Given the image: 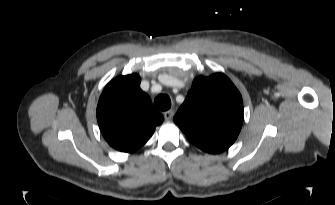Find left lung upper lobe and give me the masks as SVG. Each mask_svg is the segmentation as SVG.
Segmentation results:
<instances>
[{
    "instance_id": "5c2ea615",
    "label": "left lung upper lobe",
    "mask_w": 335,
    "mask_h": 205,
    "mask_svg": "<svg viewBox=\"0 0 335 205\" xmlns=\"http://www.w3.org/2000/svg\"><path fill=\"white\" fill-rule=\"evenodd\" d=\"M173 120L194 145L208 153H220L234 143L241 130L242 97L221 73L199 76Z\"/></svg>"
}]
</instances>
